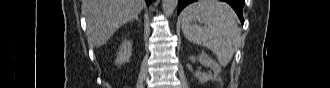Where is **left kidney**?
<instances>
[{
	"mask_svg": "<svg viewBox=\"0 0 330 88\" xmlns=\"http://www.w3.org/2000/svg\"><path fill=\"white\" fill-rule=\"evenodd\" d=\"M197 58L199 59V61L202 65L210 67L214 72V75L211 76V75H207L205 73H202L200 71H196L194 75L199 79V81L207 82L209 80L215 79L221 71V67L219 66V64L216 63L215 61H213L205 53H201ZM190 59H195V57L192 56V57H190Z\"/></svg>",
	"mask_w": 330,
	"mask_h": 88,
	"instance_id": "left-kidney-1",
	"label": "left kidney"
}]
</instances>
